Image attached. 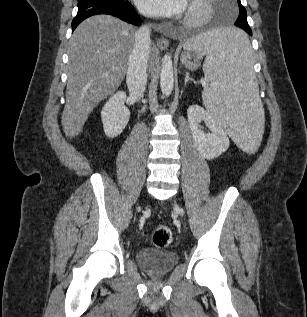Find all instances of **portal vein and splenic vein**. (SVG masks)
I'll return each mask as SVG.
<instances>
[{
  "mask_svg": "<svg viewBox=\"0 0 307 317\" xmlns=\"http://www.w3.org/2000/svg\"><path fill=\"white\" fill-rule=\"evenodd\" d=\"M202 85H203L205 88L208 87V85H207V83H206L205 81L202 82Z\"/></svg>",
  "mask_w": 307,
  "mask_h": 317,
  "instance_id": "1",
  "label": "portal vein and splenic vein"
}]
</instances>
